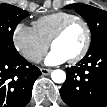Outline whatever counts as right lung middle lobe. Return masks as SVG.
Returning a JSON list of instances; mask_svg holds the SVG:
<instances>
[{
	"mask_svg": "<svg viewBox=\"0 0 107 107\" xmlns=\"http://www.w3.org/2000/svg\"><path fill=\"white\" fill-rule=\"evenodd\" d=\"M27 11L18 7L1 4L0 5V52L15 56L19 53L13 44V33L19 22L27 17Z\"/></svg>",
	"mask_w": 107,
	"mask_h": 107,
	"instance_id": "right-lung-middle-lobe-1",
	"label": "right lung middle lobe"
}]
</instances>
